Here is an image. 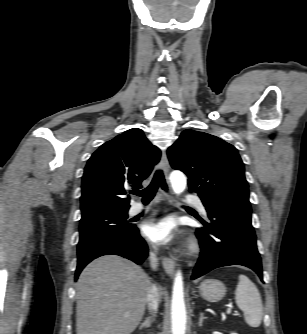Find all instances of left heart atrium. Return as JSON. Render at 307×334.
<instances>
[{
    "label": "left heart atrium",
    "instance_id": "obj_1",
    "mask_svg": "<svg viewBox=\"0 0 307 334\" xmlns=\"http://www.w3.org/2000/svg\"><path fill=\"white\" fill-rule=\"evenodd\" d=\"M173 222L168 218L146 223L143 227L144 236L154 244H166L172 240Z\"/></svg>",
    "mask_w": 307,
    "mask_h": 334
}]
</instances>
